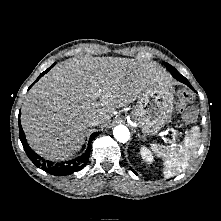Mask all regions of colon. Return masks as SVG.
<instances>
[{
  "label": "colon",
  "instance_id": "colon-1",
  "mask_svg": "<svg viewBox=\"0 0 221 221\" xmlns=\"http://www.w3.org/2000/svg\"><path fill=\"white\" fill-rule=\"evenodd\" d=\"M190 100H191V97L188 92L184 90L179 92L178 94L179 109L184 115L189 116V117L193 115V111L189 110V108L187 107V104L190 102Z\"/></svg>",
  "mask_w": 221,
  "mask_h": 221
}]
</instances>
